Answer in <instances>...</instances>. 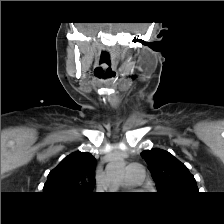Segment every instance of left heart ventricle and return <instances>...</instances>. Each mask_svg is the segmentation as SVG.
Masks as SVG:
<instances>
[{
  "label": "left heart ventricle",
  "mask_w": 224,
  "mask_h": 224,
  "mask_svg": "<svg viewBox=\"0 0 224 224\" xmlns=\"http://www.w3.org/2000/svg\"><path fill=\"white\" fill-rule=\"evenodd\" d=\"M122 187H128V186H125V182L123 181V183H122Z\"/></svg>",
  "instance_id": "b2bd125f"
}]
</instances>
